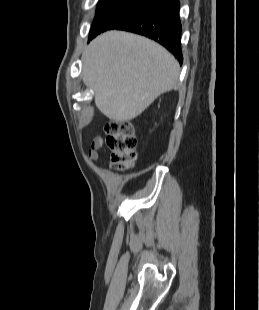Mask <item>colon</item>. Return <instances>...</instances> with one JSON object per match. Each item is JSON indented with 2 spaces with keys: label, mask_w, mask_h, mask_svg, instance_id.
<instances>
[{
  "label": "colon",
  "mask_w": 259,
  "mask_h": 310,
  "mask_svg": "<svg viewBox=\"0 0 259 310\" xmlns=\"http://www.w3.org/2000/svg\"><path fill=\"white\" fill-rule=\"evenodd\" d=\"M106 142L112 151L111 163L118 170L132 167L136 161L137 139L130 122L112 121L105 126Z\"/></svg>",
  "instance_id": "5ec220e1"
}]
</instances>
